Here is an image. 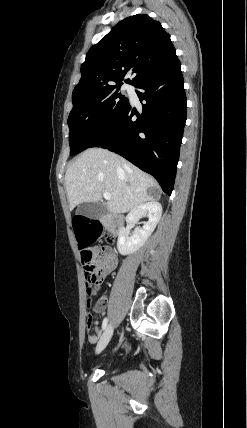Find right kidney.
<instances>
[{
	"label": "right kidney",
	"mask_w": 247,
	"mask_h": 428,
	"mask_svg": "<svg viewBox=\"0 0 247 428\" xmlns=\"http://www.w3.org/2000/svg\"><path fill=\"white\" fill-rule=\"evenodd\" d=\"M148 216V221L144 223L142 228H136L133 233L128 236L126 229H121L117 249L121 255L133 254L139 250L154 231L157 223L162 215V206L156 201H150L134 208L126 217L127 223H135L143 216Z\"/></svg>",
	"instance_id": "1"
}]
</instances>
